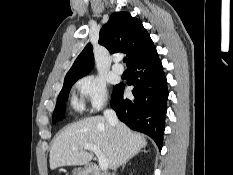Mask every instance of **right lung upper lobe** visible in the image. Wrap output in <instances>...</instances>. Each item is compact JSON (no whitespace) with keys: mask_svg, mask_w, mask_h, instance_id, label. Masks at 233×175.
<instances>
[{"mask_svg":"<svg viewBox=\"0 0 233 175\" xmlns=\"http://www.w3.org/2000/svg\"><path fill=\"white\" fill-rule=\"evenodd\" d=\"M99 44L105 46L110 53H126L128 67L156 50L142 22L128 12H117L109 18L100 30ZM93 65L92 45L88 43L66 74L64 81L83 77Z\"/></svg>","mask_w":233,"mask_h":175,"instance_id":"obj_1","label":"right lung upper lobe"}]
</instances>
